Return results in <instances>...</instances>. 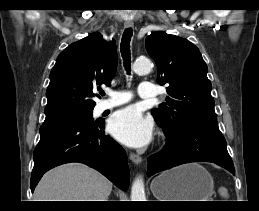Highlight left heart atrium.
<instances>
[{
	"label": "left heart atrium",
	"mask_w": 259,
	"mask_h": 211,
	"mask_svg": "<svg viewBox=\"0 0 259 211\" xmlns=\"http://www.w3.org/2000/svg\"><path fill=\"white\" fill-rule=\"evenodd\" d=\"M108 129L119 142L139 148L150 142L153 123L136 107L131 106L115 112L109 119Z\"/></svg>",
	"instance_id": "left-heart-atrium-1"
}]
</instances>
